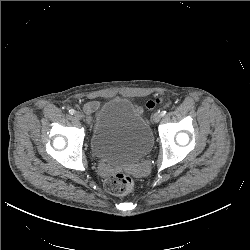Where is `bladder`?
<instances>
[{"mask_svg": "<svg viewBox=\"0 0 250 250\" xmlns=\"http://www.w3.org/2000/svg\"><path fill=\"white\" fill-rule=\"evenodd\" d=\"M151 127L127 98L110 99L100 108L89 135L92 155L111 165H131L151 150Z\"/></svg>", "mask_w": 250, "mask_h": 250, "instance_id": "31cf9c89", "label": "bladder"}]
</instances>
